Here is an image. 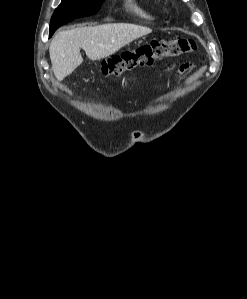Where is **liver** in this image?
Wrapping results in <instances>:
<instances>
[{
	"label": "liver",
	"instance_id": "obj_1",
	"mask_svg": "<svg viewBox=\"0 0 247 299\" xmlns=\"http://www.w3.org/2000/svg\"><path fill=\"white\" fill-rule=\"evenodd\" d=\"M151 32L150 28L128 23H109L60 31L49 47L54 75L62 80L80 66L83 62L80 48L90 60H100Z\"/></svg>",
	"mask_w": 247,
	"mask_h": 299
}]
</instances>
